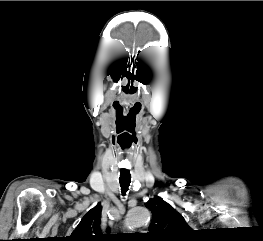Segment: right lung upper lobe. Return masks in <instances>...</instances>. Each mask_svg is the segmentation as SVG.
I'll return each mask as SVG.
<instances>
[{"label":"right lung upper lobe","instance_id":"right-lung-upper-lobe-1","mask_svg":"<svg viewBox=\"0 0 263 241\" xmlns=\"http://www.w3.org/2000/svg\"><path fill=\"white\" fill-rule=\"evenodd\" d=\"M101 211V203L89 210L72 232L69 241H108L110 235L102 234L100 229Z\"/></svg>","mask_w":263,"mask_h":241}]
</instances>
